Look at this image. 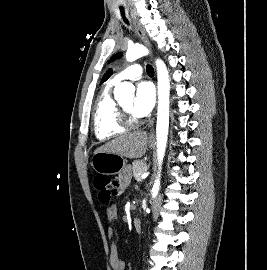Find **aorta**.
<instances>
[{
    "label": "aorta",
    "mask_w": 267,
    "mask_h": 270,
    "mask_svg": "<svg viewBox=\"0 0 267 270\" xmlns=\"http://www.w3.org/2000/svg\"><path fill=\"white\" fill-rule=\"evenodd\" d=\"M148 49L143 45L130 46L126 52V60L133 62L140 57L148 55ZM157 68V85H158V109H157V126H156V139H157V160L159 165V173L153 184L151 194L152 198L158 195L160 189V172L163 162L168 128H169V96H170V80L169 73L165 63L157 59L155 61ZM135 87L129 82H122L117 85L114 90V95L117 100L123 97H133Z\"/></svg>",
    "instance_id": "obj_1"
}]
</instances>
